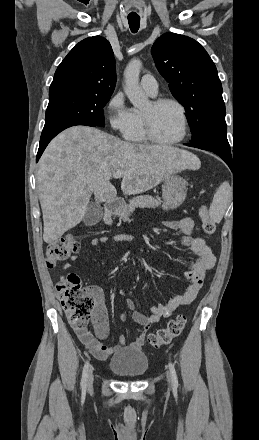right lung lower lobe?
<instances>
[{"label": "right lung lower lobe", "instance_id": "obj_1", "mask_svg": "<svg viewBox=\"0 0 259 440\" xmlns=\"http://www.w3.org/2000/svg\"><path fill=\"white\" fill-rule=\"evenodd\" d=\"M76 125H86V126L95 127V125H91V124H87V123H83V122H65V123H62L60 125H57V126H54V127L48 128V129H43L42 134H41V138H40V145H39L38 153L36 156V162L41 157V155H42L43 151L45 150L46 146L48 145V143L57 134H59L61 131H63L66 128H69L71 126H76Z\"/></svg>", "mask_w": 259, "mask_h": 440}]
</instances>
